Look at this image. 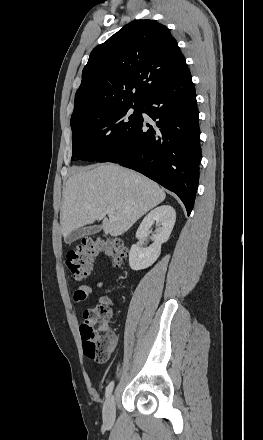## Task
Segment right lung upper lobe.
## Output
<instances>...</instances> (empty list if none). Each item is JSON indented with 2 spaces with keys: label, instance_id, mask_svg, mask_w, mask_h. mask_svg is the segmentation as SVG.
I'll use <instances>...</instances> for the list:
<instances>
[{
  "label": "right lung upper lobe",
  "instance_id": "right-lung-upper-lobe-1",
  "mask_svg": "<svg viewBox=\"0 0 263 440\" xmlns=\"http://www.w3.org/2000/svg\"><path fill=\"white\" fill-rule=\"evenodd\" d=\"M187 70L166 26L152 20L130 22L92 50L75 94L71 126L89 113L141 103Z\"/></svg>",
  "mask_w": 263,
  "mask_h": 440
}]
</instances>
